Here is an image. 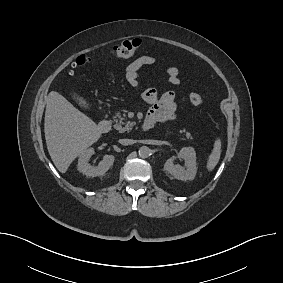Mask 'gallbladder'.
I'll return each mask as SVG.
<instances>
[{
	"label": "gallbladder",
	"instance_id": "obj_1",
	"mask_svg": "<svg viewBox=\"0 0 283 283\" xmlns=\"http://www.w3.org/2000/svg\"><path fill=\"white\" fill-rule=\"evenodd\" d=\"M73 96V99L84 109H89L90 108V105L89 103L83 98L81 97L80 95L76 94V93H73L72 94Z\"/></svg>",
	"mask_w": 283,
	"mask_h": 283
}]
</instances>
